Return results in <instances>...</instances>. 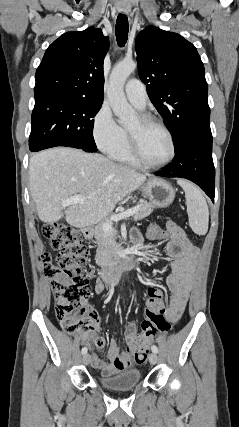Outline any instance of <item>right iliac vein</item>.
I'll list each match as a JSON object with an SVG mask.
<instances>
[{"label":"right iliac vein","instance_id":"right-iliac-vein-1","mask_svg":"<svg viewBox=\"0 0 239 427\" xmlns=\"http://www.w3.org/2000/svg\"><path fill=\"white\" fill-rule=\"evenodd\" d=\"M83 363L85 364V365H88L89 363H90V361H91V357H90V355L89 354H85L84 356H83Z\"/></svg>","mask_w":239,"mask_h":427}]
</instances>
